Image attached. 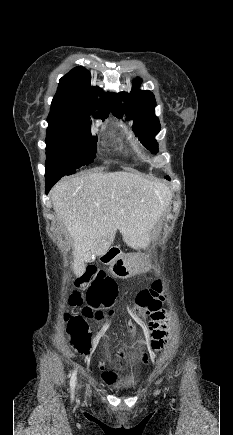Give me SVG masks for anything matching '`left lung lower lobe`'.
Masks as SVG:
<instances>
[{
    "label": "left lung lower lobe",
    "mask_w": 233,
    "mask_h": 435,
    "mask_svg": "<svg viewBox=\"0 0 233 435\" xmlns=\"http://www.w3.org/2000/svg\"><path fill=\"white\" fill-rule=\"evenodd\" d=\"M165 178L168 179V180H170L169 176H166Z\"/></svg>",
    "instance_id": "obj_1"
}]
</instances>
